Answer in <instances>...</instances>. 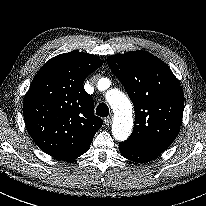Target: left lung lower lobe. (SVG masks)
<instances>
[{
  "instance_id": "1",
  "label": "left lung lower lobe",
  "mask_w": 206,
  "mask_h": 206,
  "mask_svg": "<svg viewBox=\"0 0 206 206\" xmlns=\"http://www.w3.org/2000/svg\"><path fill=\"white\" fill-rule=\"evenodd\" d=\"M119 149L123 157L137 163L149 162L161 154L160 152L143 148L126 141L119 144Z\"/></svg>"
}]
</instances>
